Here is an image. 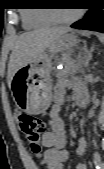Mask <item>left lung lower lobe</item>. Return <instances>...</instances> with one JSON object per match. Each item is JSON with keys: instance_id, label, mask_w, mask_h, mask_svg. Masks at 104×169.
Instances as JSON below:
<instances>
[{"instance_id": "left-lung-lower-lobe-1", "label": "left lung lower lobe", "mask_w": 104, "mask_h": 169, "mask_svg": "<svg viewBox=\"0 0 104 169\" xmlns=\"http://www.w3.org/2000/svg\"><path fill=\"white\" fill-rule=\"evenodd\" d=\"M71 27L104 32V12L100 8H92L83 19L75 22Z\"/></svg>"}]
</instances>
